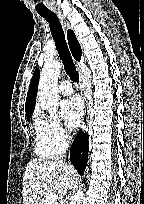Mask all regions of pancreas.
<instances>
[{
	"mask_svg": "<svg viewBox=\"0 0 144 204\" xmlns=\"http://www.w3.org/2000/svg\"><path fill=\"white\" fill-rule=\"evenodd\" d=\"M44 200H45V198H43V199L40 201L39 204H45Z\"/></svg>",
	"mask_w": 144,
	"mask_h": 204,
	"instance_id": "cf45deb5",
	"label": "pancreas"
}]
</instances>
